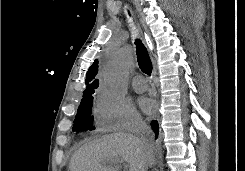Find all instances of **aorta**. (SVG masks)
I'll list each match as a JSON object with an SVG mask.
<instances>
[{"label":"aorta","mask_w":245,"mask_h":171,"mask_svg":"<svg viewBox=\"0 0 245 171\" xmlns=\"http://www.w3.org/2000/svg\"><path fill=\"white\" fill-rule=\"evenodd\" d=\"M134 62V50L130 45L122 47L108 62L103 73V86L113 96L127 93V78Z\"/></svg>","instance_id":"1"}]
</instances>
